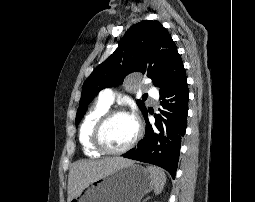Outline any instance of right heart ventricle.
Returning <instances> with one entry per match:
<instances>
[{
  "label": "right heart ventricle",
  "mask_w": 255,
  "mask_h": 202,
  "mask_svg": "<svg viewBox=\"0 0 255 202\" xmlns=\"http://www.w3.org/2000/svg\"><path fill=\"white\" fill-rule=\"evenodd\" d=\"M110 105L104 103L100 99L86 113L80 129L79 141L83 152L90 157H99L102 153L98 151L92 144L91 136L93 128L98 119L109 110Z\"/></svg>",
  "instance_id": "obj_1"
}]
</instances>
